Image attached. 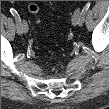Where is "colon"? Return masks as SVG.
I'll use <instances>...</instances> for the list:
<instances>
[{
    "instance_id": "5ec220e1",
    "label": "colon",
    "mask_w": 109,
    "mask_h": 109,
    "mask_svg": "<svg viewBox=\"0 0 109 109\" xmlns=\"http://www.w3.org/2000/svg\"><path fill=\"white\" fill-rule=\"evenodd\" d=\"M29 9H30V11H31L34 15H37L38 12H39V8H38V6H36V5H31V6L29 7Z\"/></svg>"
}]
</instances>
